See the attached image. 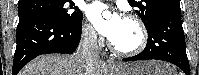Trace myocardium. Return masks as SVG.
<instances>
[{
	"instance_id": "f54148a6",
	"label": "myocardium",
	"mask_w": 199,
	"mask_h": 75,
	"mask_svg": "<svg viewBox=\"0 0 199 75\" xmlns=\"http://www.w3.org/2000/svg\"><path fill=\"white\" fill-rule=\"evenodd\" d=\"M125 19L134 23L136 27L138 28L139 36H140L138 45L134 48H121L115 45L112 41H109V46L114 52L119 53V54L129 55V56L137 55L140 52H142L147 45V42H148L147 30L144 23L139 17L135 15H127Z\"/></svg>"
}]
</instances>
